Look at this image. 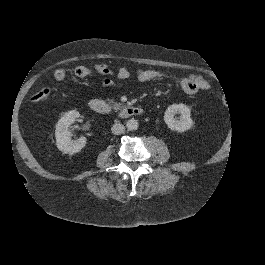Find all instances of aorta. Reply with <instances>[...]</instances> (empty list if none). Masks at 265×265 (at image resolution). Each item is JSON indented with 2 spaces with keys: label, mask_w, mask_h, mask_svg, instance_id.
Listing matches in <instances>:
<instances>
[{
  "label": "aorta",
  "mask_w": 265,
  "mask_h": 265,
  "mask_svg": "<svg viewBox=\"0 0 265 265\" xmlns=\"http://www.w3.org/2000/svg\"><path fill=\"white\" fill-rule=\"evenodd\" d=\"M138 121L135 120L134 118L129 119L126 123V127L128 130L133 131L138 129Z\"/></svg>",
  "instance_id": "aorta-1"
}]
</instances>
